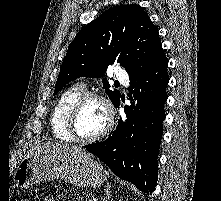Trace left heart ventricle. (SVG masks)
Segmentation results:
<instances>
[{
  "label": "left heart ventricle",
  "instance_id": "1",
  "mask_svg": "<svg viewBox=\"0 0 221 201\" xmlns=\"http://www.w3.org/2000/svg\"><path fill=\"white\" fill-rule=\"evenodd\" d=\"M107 117L103 104L97 100L87 102L77 119L76 130L81 137H93L106 126Z\"/></svg>",
  "mask_w": 221,
  "mask_h": 201
}]
</instances>
